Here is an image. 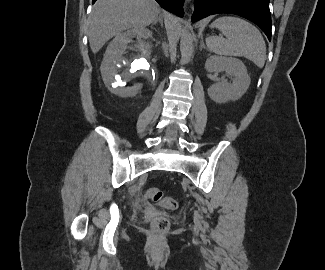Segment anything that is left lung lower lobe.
<instances>
[{"mask_svg":"<svg viewBox=\"0 0 325 270\" xmlns=\"http://www.w3.org/2000/svg\"><path fill=\"white\" fill-rule=\"evenodd\" d=\"M192 21L218 13L242 16L258 25L271 40L269 0H194Z\"/></svg>","mask_w":325,"mask_h":270,"instance_id":"0a47b994","label":"left lung lower lobe"}]
</instances>
